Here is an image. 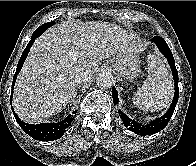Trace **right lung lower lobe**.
<instances>
[{
  "label": "right lung lower lobe",
  "instance_id": "98d812e1",
  "mask_svg": "<svg viewBox=\"0 0 196 166\" xmlns=\"http://www.w3.org/2000/svg\"><path fill=\"white\" fill-rule=\"evenodd\" d=\"M41 34L40 33H33L31 36V40L26 46L25 50L22 53V56L18 62L16 72L14 74L13 82H12V92H11V99L13 96V87L17 78V75L19 74L22 65L26 59V56L33 45L34 41L36 38H38ZM12 111L14 113L15 119L20 125V127L32 138L36 140H41V141H52V140H57L63 134L65 133L66 129L70 126L71 122L74 120L73 115H68L64 120L58 122V123H42V124H27L17 116V114L14 112L13 108ZM77 110L73 112V114H76Z\"/></svg>",
  "mask_w": 196,
  "mask_h": 166
}]
</instances>
